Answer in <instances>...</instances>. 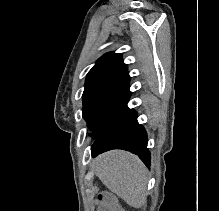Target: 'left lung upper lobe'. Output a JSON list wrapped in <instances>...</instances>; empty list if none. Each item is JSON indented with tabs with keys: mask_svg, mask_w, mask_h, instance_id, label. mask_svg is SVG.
Segmentation results:
<instances>
[{
	"mask_svg": "<svg viewBox=\"0 0 219 211\" xmlns=\"http://www.w3.org/2000/svg\"><path fill=\"white\" fill-rule=\"evenodd\" d=\"M130 76L119 53H106L91 68L83 92V117L93 140L108 134L130 110Z\"/></svg>",
	"mask_w": 219,
	"mask_h": 211,
	"instance_id": "1",
	"label": "left lung upper lobe"
}]
</instances>
